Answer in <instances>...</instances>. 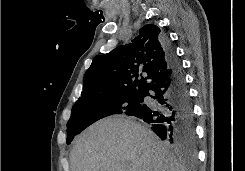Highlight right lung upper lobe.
<instances>
[{"instance_id": "obj_1", "label": "right lung upper lobe", "mask_w": 245, "mask_h": 171, "mask_svg": "<svg viewBox=\"0 0 245 171\" xmlns=\"http://www.w3.org/2000/svg\"><path fill=\"white\" fill-rule=\"evenodd\" d=\"M169 74L163 36L156 25L148 24L140 29L132 43L93 59L84 75L78 101L142 95Z\"/></svg>"}]
</instances>
